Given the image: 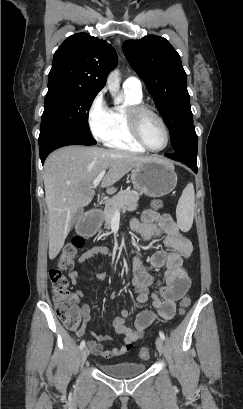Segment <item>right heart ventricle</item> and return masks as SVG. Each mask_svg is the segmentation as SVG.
<instances>
[{
    "mask_svg": "<svg viewBox=\"0 0 243 409\" xmlns=\"http://www.w3.org/2000/svg\"><path fill=\"white\" fill-rule=\"evenodd\" d=\"M123 95L125 98V106L112 109L116 127L113 134L106 140V144L115 149L145 152V149L131 136L125 115L128 106L140 104L142 102V94H136L123 89Z\"/></svg>",
    "mask_w": 243,
    "mask_h": 409,
    "instance_id": "right-heart-ventricle-1",
    "label": "right heart ventricle"
}]
</instances>
